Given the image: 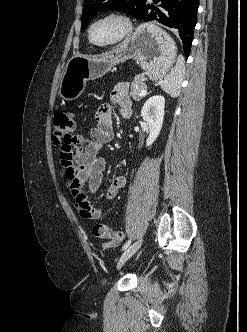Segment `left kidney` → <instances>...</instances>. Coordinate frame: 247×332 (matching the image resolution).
Instances as JSON below:
<instances>
[{"label": "left kidney", "instance_id": "1", "mask_svg": "<svg viewBox=\"0 0 247 332\" xmlns=\"http://www.w3.org/2000/svg\"><path fill=\"white\" fill-rule=\"evenodd\" d=\"M165 98L161 95L150 97L141 110L143 120L149 124L150 131L146 146H151L160 134L164 118Z\"/></svg>", "mask_w": 247, "mask_h": 332}]
</instances>
